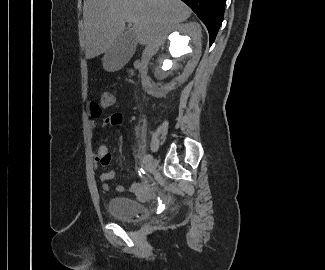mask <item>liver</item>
<instances>
[{"label": "liver", "mask_w": 325, "mask_h": 270, "mask_svg": "<svg viewBox=\"0 0 325 270\" xmlns=\"http://www.w3.org/2000/svg\"><path fill=\"white\" fill-rule=\"evenodd\" d=\"M191 9L181 0H87L84 7L85 56L95 58L111 47L126 29L128 17L138 22L129 27L142 45L144 56L158 48L162 33L186 21ZM130 22V21H128Z\"/></svg>", "instance_id": "liver-1"}]
</instances>
